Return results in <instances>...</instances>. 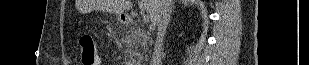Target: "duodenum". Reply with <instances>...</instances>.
Returning a JSON list of instances; mask_svg holds the SVG:
<instances>
[{"label": "duodenum", "mask_w": 309, "mask_h": 65, "mask_svg": "<svg viewBox=\"0 0 309 65\" xmlns=\"http://www.w3.org/2000/svg\"><path fill=\"white\" fill-rule=\"evenodd\" d=\"M124 21H125V23H127V24H130V23H132V18H130V17H126L125 19H124Z\"/></svg>", "instance_id": "duodenum-1"}]
</instances>
